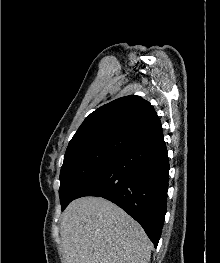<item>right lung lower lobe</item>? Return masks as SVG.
<instances>
[{
	"label": "right lung lower lobe",
	"instance_id": "98d812e1",
	"mask_svg": "<svg viewBox=\"0 0 220 263\" xmlns=\"http://www.w3.org/2000/svg\"><path fill=\"white\" fill-rule=\"evenodd\" d=\"M169 161L163 133L123 149L74 197L99 196L125 210L157 247L166 213Z\"/></svg>",
	"mask_w": 220,
	"mask_h": 263
}]
</instances>
